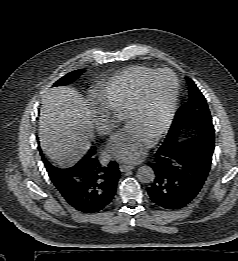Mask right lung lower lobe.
Segmentation results:
<instances>
[{
    "label": "right lung lower lobe",
    "mask_w": 238,
    "mask_h": 261,
    "mask_svg": "<svg viewBox=\"0 0 238 261\" xmlns=\"http://www.w3.org/2000/svg\"><path fill=\"white\" fill-rule=\"evenodd\" d=\"M94 150L88 152L77 164L66 169H50L42 155L50 179L63 198L76 210L96 213L112 202L120 177L118 164L114 161L101 165Z\"/></svg>",
    "instance_id": "1"
}]
</instances>
